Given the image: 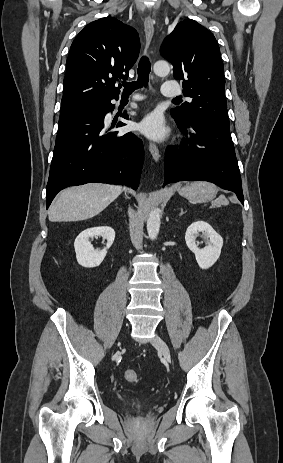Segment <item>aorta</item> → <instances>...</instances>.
I'll return each instance as SVG.
<instances>
[{
	"instance_id": "obj_1",
	"label": "aorta",
	"mask_w": 283,
	"mask_h": 463,
	"mask_svg": "<svg viewBox=\"0 0 283 463\" xmlns=\"http://www.w3.org/2000/svg\"><path fill=\"white\" fill-rule=\"evenodd\" d=\"M154 73L158 76H166L170 72L169 64L165 61H158L153 66ZM160 229V210L152 209L147 220V232L151 240L157 238Z\"/></svg>"
}]
</instances>
